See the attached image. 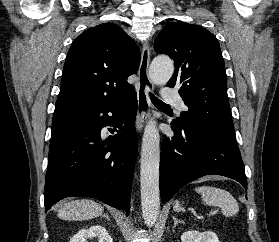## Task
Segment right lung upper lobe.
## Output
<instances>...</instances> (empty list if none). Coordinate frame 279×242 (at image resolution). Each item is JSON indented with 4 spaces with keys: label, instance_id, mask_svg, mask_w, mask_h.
<instances>
[{
    "label": "right lung upper lobe",
    "instance_id": "right-lung-upper-lobe-1",
    "mask_svg": "<svg viewBox=\"0 0 279 242\" xmlns=\"http://www.w3.org/2000/svg\"><path fill=\"white\" fill-rule=\"evenodd\" d=\"M139 63L138 46L116 24L84 31L69 49L53 118L126 100L135 92L127 78Z\"/></svg>",
    "mask_w": 279,
    "mask_h": 242
}]
</instances>
